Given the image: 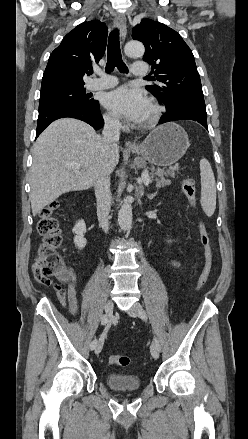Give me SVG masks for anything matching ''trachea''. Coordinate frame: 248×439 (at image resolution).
I'll list each match as a JSON object with an SVG mask.
<instances>
[{
  "instance_id": "1",
  "label": "trachea",
  "mask_w": 248,
  "mask_h": 439,
  "mask_svg": "<svg viewBox=\"0 0 248 439\" xmlns=\"http://www.w3.org/2000/svg\"><path fill=\"white\" fill-rule=\"evenodd\" d=\"M115 67L122 72L127 73L128 68L122 60L120 42H119V30L114 29L109 35V42L107 47V64L106 72H111Z\"/></svg>"
}]
</instances>
